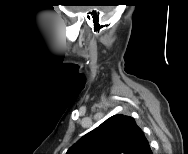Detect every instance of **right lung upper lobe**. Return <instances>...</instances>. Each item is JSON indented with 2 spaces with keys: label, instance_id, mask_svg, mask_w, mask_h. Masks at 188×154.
Returning <instances> with one entry per match:
<instances>
[{
  "label": "right lung upper lobe",
  "instance_id": "right-lung-upper-lobe-1",
  "mask_svg": "<svg viewBox=\"0 0 188 154\" xmlns=\"http://www.w3.org/2000/svg\"><path fill=\"white\" fill-rule=\"evenodd\" d=\"M143 131L134 118L114 115L84 135L66 154H149Z\"/></svg>",
  "mask_w": 188,
  "mask_h": 154
}]
</instances>
